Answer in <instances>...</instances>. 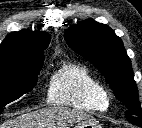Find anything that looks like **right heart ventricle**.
<instances>
[{
	"label": "right heart ventricle",
	"mask_w": 142,
	"mask_h": 128,
	"mask_svg": "<svg viewBox=\"0 0 142 128\" xmlns=\"http://www.w3.org/2000/svg\"><path fill=\"white\" fill-rule=\"evenodd\" d=\"M47 99L53 105L88 111H105L109 106L105 86L79 63H64L53 72Z\"/></svg>",
	"instance_id": "e07e8e85"
}]
</instances>
